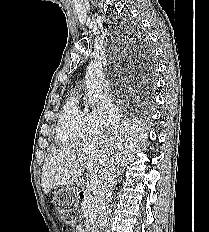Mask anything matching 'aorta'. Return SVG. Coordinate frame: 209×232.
<instances>
[{
  "label": "aorta",
  "mask_w": 209,
  "mask_h": 232,
  "mask_svg": "<svg viewBox=\"0 0 209 232\" xmlns=\"http://www.w3.org/2000/svg\"><path fill=\"white\" fill-rule=\"evenodd\" d=\"M85 82L89 105L98 102L104 90V72L100 61L92 60L86 69Z\"/></svg>",
  "instance_id": "aorta-1"
}]
</instances>
